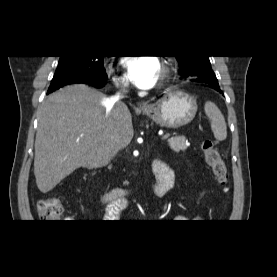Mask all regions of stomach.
<instances>
[{"instance_id": "obj_1", "label": "stomach", "mask_w": 277, "mask_h": 277, "mask_svg": "<svg viewBox=\"0 0 277 277\" xmlns=\"http://www.w3.org/2000/svg\"><path fill=\"white\" fill-rule=\"evenodd\" d=\"M196 112V99L183 91H169L156 103L143 109V113L159 126L173 129L190 123Z\"/></svg>"}]
</instances>
